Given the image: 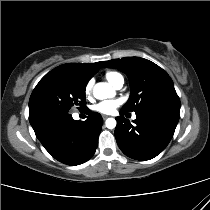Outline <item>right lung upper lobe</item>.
<instances>
[{"mask_svg":"<svg viewBox=\"0 0 210 210\" xmlns=\"http://www.w3.org/2000/svg\"><path fill=\"white\" fill-rule=\"evenodd\" d=\"M104 61L90 64H81V63H67L60 65L50 71L46 75L51 74H66L72 76L80 81L88 83V81L93 77L95 73L101 68Z\"/></svg>","mask_w":210,"mask_h":210,"instance_id":"cb5924a9","label":"right lung upper lobe"}]
</instances>
